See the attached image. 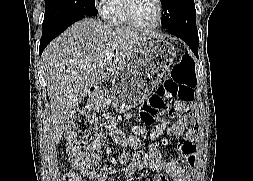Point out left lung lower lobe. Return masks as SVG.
Masks as SVG:
<instances>
[{"label": "left lung lower lobe", "mask_w": 253, "mask_h": 181, "mask_svg": "<svg viewBox=\"0 0 253 181\" xmlns=\"http://www.w3.org/2000/svg\"><path fill=\"white\" fill-rule=\"evenodd\" d=\"M167 31L184 40L189 45L194 54L198 57V44H199L198 33H190L173 29H167Z\"/></svg>", "instance_id": "0a47b994"}]
</instances>
